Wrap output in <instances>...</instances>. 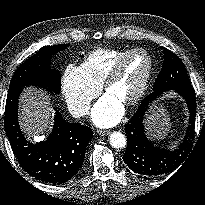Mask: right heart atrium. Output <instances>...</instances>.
Listing matches in <instances>:
<instances>
[{
  "mask_svg": "<svg viewBox=\"0 0 205 205\" xmlns=\"http://www.w3.org/2000/svg\"><path fill=\"white\" fill-rule=\"evenodd\" d=\"M100 86L92 83L79 66L69 65L62 77V95L75 117L87 115L91 101L98 95Z\"/></svg>",
  "mask_w": 205,
  "mask_h": 205,
  "instance_id": "obj_1",
  "label": "right heart atrium"
}]
</instances>
